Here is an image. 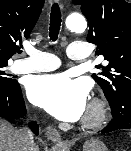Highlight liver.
I'll use <instances>...</instances> for the list:
<instances>
[{
  "instance_id": "liver-1",
  "label": "liver",
  "mask_w": 131,
  "mask_h": 151,
  "mask_svg": "<svg viewBox=\"0 0 131 151\" xmlns=\"http://www.w3.org/2000/svg\"><path fill=\"white\" fill-rule=\"evenodd\" d=\"M17 131L9 122L0 120V151H20Z\"/></svg>"
}]
</instances>
